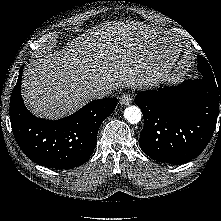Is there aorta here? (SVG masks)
<instances>
[{"mask_svg":"<svg viewBox=\"0 0 221 221\" xmlns=\"http://www.w3.org/2000/svg\"><path fill=\"white\" fill-rule=\"evenodd\" d=\"M125 119L131 124H137L140 122L142 113L137 106H129L124 110Z\"/></svg>","mask_w":221,"mask_h":221,"instance_id":"762f6f07","label":"aorta"}]
</instances>
